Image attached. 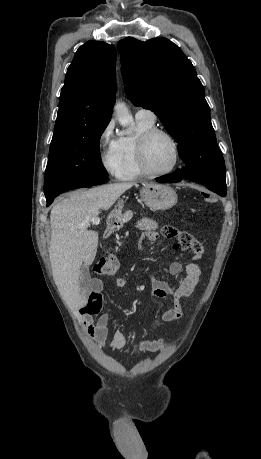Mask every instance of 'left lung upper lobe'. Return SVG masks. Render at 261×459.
<instances>
[{"mask_svg": "<svg viewBox=\"0 0 261 459\" xmlns=\"http://www.w3.org/2000/svg\"><path fill=\"white\" fill-rule=\"evenodd\" d=\"M121 73L132 103L153 111L179 144L186 177L225 173L204 88L191 61L166 38L118 43Z\"/></svg>", "mask_w": 261, "mask_h": 459, "instance_id": "left-lung-upper-lobe-1", "label": "left lung upper lobe"}]
</instances>
